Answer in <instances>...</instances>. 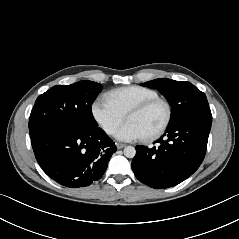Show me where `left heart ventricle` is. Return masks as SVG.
Masks as SVG:
<instances>
[{"label":"left heart ventricle","instance_id":"b2bd125f","mask_svg":"<svg viewBox=\"0 0 239 239\" xmlns=\"http://www.w3.org/2000/svg\"><path fill=\"white\" fill-rule=\"evenodd\" d=\"M164 117V106L156 104L142 113L129 116L128 121L134 123L143 132L144 136H147L161 125Z\"/></svg>","mask_w":239,"mask_h":239}]
</instances>
